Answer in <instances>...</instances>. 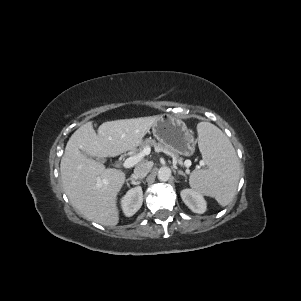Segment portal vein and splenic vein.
<instances>
[{
    "label": "portal vein and splenic vein",
    "instance_id": "portal-vein-and-splenic-vein-1",
    "mask_svg": "<svg viewBox=\"0 0 301 301\" xmlns=\"http://www.w3.org/2000/svg\"><path fill=\"white\" fill-rule=\"evenodd\" d=\"M162 152H164L165 154L171 156L173 158V163L176 164L177 163V160L176 158L171 155L169 152L167 151H164V150H160ZM151 152V148L150 147H146L144 148L141 153L137 154V155H134V156H131L129 158H127L124 163H123V166L125 168H131L133 167L134 165H136L144 156L146 155H149ZM201 165H203V162L200 163ZM191 165V162H185V166L188 168L189 166Z\"/></svg>",
    "mask_w": 301,
    "mask_h": 301
}]
</instances>
